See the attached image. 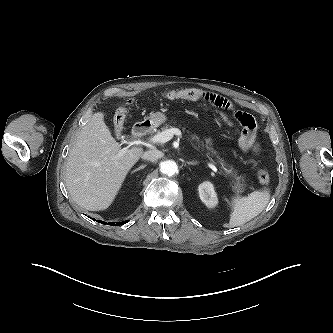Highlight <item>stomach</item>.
Returning a JSON list of instances; mask_svg holds the SVG:
<instances>
[{
	"mask_svg": "<svg viewBox=\"0 0 333 333\" xmlns=\"http://www.w3.org/2000/svg\"><path fill=\"white\" fill-rule=\"evenodd\" d=\"M167 120V117L165 114L161 112H154L151 113L146 119L145 122H147L151 126H159L160 124L164 123Z\"/></svg>",
	"mask_w": 333,
	"mask_h": 333,
	"instance_id": "obj_1",
	"label": "stomach"
}]
</instances>
